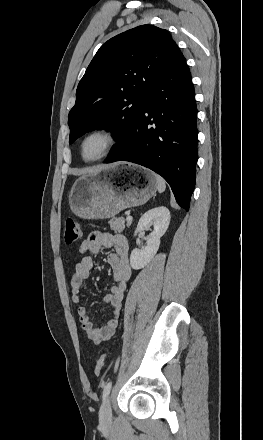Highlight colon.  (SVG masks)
I'll list each match as a JSON object with an SVG mask.
<instances>
[{"label":"colon","instance_id":"1","mask_svg":"<svg viewBox=\"0 0 263 440\" xmlns=\"http://www.w3.org/2000/svg\"><path fill=\"white\" fill-rule=\"evenodd\" d=\"M81 236V228L77 220L67 219L64 224V240L68 245L74 244ZM105 354L101 355L94 368L96 375H99L105 365Z\"/></svg>","mask_w":263,"mask_h":440}]
</instances>
